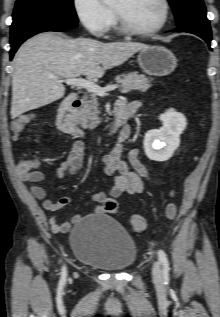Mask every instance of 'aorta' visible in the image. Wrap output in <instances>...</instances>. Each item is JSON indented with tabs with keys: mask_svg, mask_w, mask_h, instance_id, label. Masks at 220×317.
Wrapping results in <instances>:
<instances>
[{
	"mask_svg": "<svg viewBox=\"0 0 220 317\" xmlns=\"http://www.w3.org/2000/svg\"><path fill=\"white\" fill-rule=\"evenodd\" d=\"M105 4L114 3L116 0H102Z\"/></svg>",
	"mask_w": 220,
	"mask_h": 317,
	"instance_id": "762f6f07",
	"label": "aorta"
}]
</instances>
